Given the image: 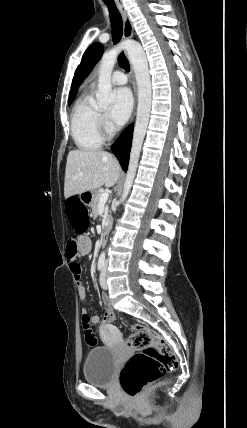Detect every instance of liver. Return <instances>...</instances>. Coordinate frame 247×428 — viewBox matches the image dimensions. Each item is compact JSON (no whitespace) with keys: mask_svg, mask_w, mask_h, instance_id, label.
<instances>
[{"mask_svg":"<svg viewBox=\"0 0 247 428\" xmlns=\"http://www.w3.org/2000/svg\"><path fill=\"white\" fill-rule=\"evenodd\" d=\"M120 176L118 161L102 150H72L68 153L64 196L81 194L105 185L114 186Z\"/></svg>","mask_w":247,"mask_h":428,"instance_id":"liver-1","label":"liver"}]
</instances>
